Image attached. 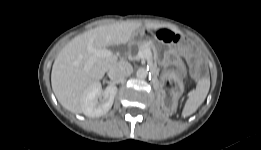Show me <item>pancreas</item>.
<instances>
[{
	"mask_svg": "<svg viewBox=\"0 0 261 150\" xmlns=\"http://www.w3.org/2000/svg\"><path fill=\"white\" fill-rule=\"evenodd\" d=\"M139 50H148L149 52V56L148 58H146L151 66V69H152V72L155 76L158 75L159 73V69L157 67V62H156V59L155 57L153 56L152 54V51H151V46L148 42H143L139 45Z\"/></svg>",
	"mask_w": 261,
	"mask_h": 150,
	"instance_id": "cf45deb5",
	"label": "pancreas"
}]
</instances>
